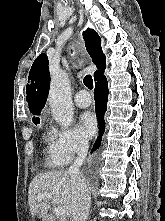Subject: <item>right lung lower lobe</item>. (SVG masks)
<instances>
[{
    "label": "right lung lower lobe",
    "mask_w": 165,
    "mask_h": 221,
    "mask_svg": "<svg viewBox=\"0 0 165 221\" xmlns=\"http://www.w3.org/2000/svg\"><path fill=\"white\" fill-rule=\"evenodd\" d=\"M94 98H95L96 114L99 121L100 134L96 140V143L92 148L91 153L99 147L102 139V134L105 129L104 113L106 112L107 109V100H108V84L105 76L101 77L98 81H96Z\"/></svg>",
    "instance_id": "1"
}]
</instances>
